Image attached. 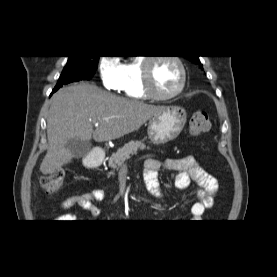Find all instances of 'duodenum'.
<instances>
[{
    "label": "duodenum",
    "instance_id": "1",
    "mask_svg": "<svg viewBox=\"0 0 277 277\" xmlns=\"http://www.w3.org/2000/svg\"><path fill=\"white\" fill-rule=\"evenodd\" d=\"M104 153L100 150H92L85 159V166L89 169L99 167L104 160Z\"/></svg>",
    "mask_w": 277,
    "mask_h": 277
}]
</instances>
